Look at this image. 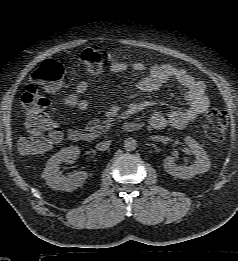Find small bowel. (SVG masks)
<instances>
[{
	"label": "small bowel",
	"mask_w": 238,
	"mask_h": 261,
	"mask_svg": "<svg viewBox=\"0 0 238 261\" xmlns=\"http://www.w3.org/2000/svg\"><path fill=\"white\" fill-rule=\"evenodd\" d=\"M134 72H144L148 70L146 76L140 78L135 87L142 92H152L161 87L165 82L173 79L177 81L184 90L185 99L188 105L182 109L172 110L168 113L155 112L150 117V125L156 130L164 129L167 126L181 129L203 114L209 107V98L206 94V86L202 81L193 78L184 69L177 68L170 64L152 65L149 68L142 62H134L131 65L119 60H113L109 64L111 73H122L128 69ZM89 87V81L79 82L75 92L65 97V105L69 108H77L85 111L89 107L86 99H80V95L85 93Z\"/></svg>",
	"instance_id": "1"
}]
</instances>
